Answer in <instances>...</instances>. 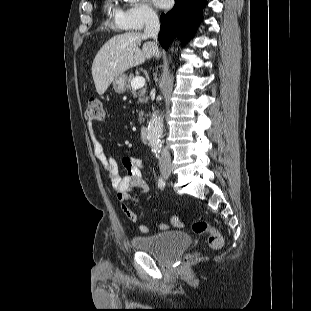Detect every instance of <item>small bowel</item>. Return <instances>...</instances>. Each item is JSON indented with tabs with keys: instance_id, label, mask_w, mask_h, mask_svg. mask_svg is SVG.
<instances>
[{
	"instance_id": "1",
	"label": "small bowel",
	"mask_w": 311,
	"mask_h": 311,
	"mask_svg": "<svg viewBox=\"0 0 311 311\" xmlns=\"http://www.w3.org/2000/svg\"><path fill=\"white\" fill-rule=\"evenodd\" d=\"M87 129L93 144L95 157L100 162L104 172L107 174V177L116 192L117 198L121 203L124 214L130 221L137 222L139 219L138 215L127 207L125 203L128 200L138 201L137 198L131 195L132 191L139 190L142 193H147L149 191V185L143 179L142 175L144 168L142 160L128 156L124 157L122 159V164L126 170V174L123 176L120 175L117 161L113 157H108L104 153L103 148L97 139L96 131L92 122H88ZM173 225L182 226L183 224L174 219ZM158 227L160 230L168 229L167 224H160ZM139 231L146 234L150 232V229L148 226L141 224L139 225Z\"/></svg>"
}]
</instances>
